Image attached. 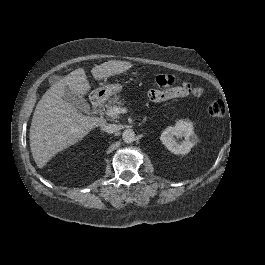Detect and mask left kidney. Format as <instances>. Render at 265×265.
Returning <instances> with one entry per match:
<instances>
[{"label": "left kidney", "instance_id": "obj_1", "mask_svg": "<svg viewBox=\"0 0 265 265\" xmlns=\"http://www.w3.org/2000/svg\"><path fill=\"white\" fill-rule=\"evenodd\" d=\"M193 129L191 121L179 120L174 127L169 126L162 132L160 140L172 153L187 154L198 142V137ZM174 136L177 138L184 137V140L178 143Z\"/></svg>", "mask_w": 265, "mask_h": 265}]
</instances>
